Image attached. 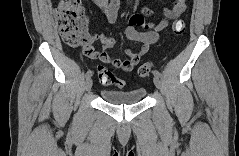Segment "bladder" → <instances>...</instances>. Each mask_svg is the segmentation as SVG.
Here are the masks:
<instances>
[{"label":"bladder","mask_w":239,"mask_h":156,"mask_svg":"<svg viewBox=\"0 0 239 156\" xmlns=\"http://www.w3.org/2000/svg\"><path fill=\"white\" fill-rule=\"evenodd\" d=\"M146 89L137 87L127 91L107 90L101 91V96L104 101L115 105L135 104L144 99Z\"/></svg>","instance_id":"obj_1"}]
</instances>
